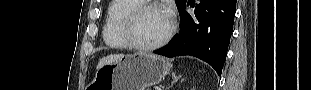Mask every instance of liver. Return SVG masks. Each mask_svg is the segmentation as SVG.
Instances as JSON below:
<instances>
[{"instance_id": "liver-1", "label": "liver", "mask_w": 311, "mask_h": 90, "mask_svg": "<svg viewBox=\"0 0 311 90\" xmlns=\"http://www.w3.org/2000/svg\"><path fill=\"white\" fill-rule=\"evenodd\" d=\"M122 57H124L123 54H113V55H109L106 57H103L97 64V70L101 67H103L104 65L107 64H113L115 62H117L118 60H120Z\"/></svg>"}]
</instances>
